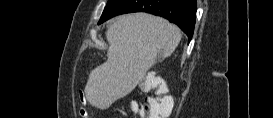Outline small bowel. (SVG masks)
I'll return each mask as SVG.
<instances>
[{
  "mask_svg": "<svg viewBox=\"0 0 273 118\" xmlns=\"http://www.w3.org/2000/svg\"><path fill=\"white\" fill-rule=\"evenodd\" d=\"M80 101H81L82 103H84V102L86 101V98H85L84 94H82V93H80ZM80 115H81L82 117H84V118H87V117H88L87 111H86L85 109H83V108L80 110Z\"/></svg>",
  "mask_w": 273,
  "mask_h": 118,
  "instance_id": "small-bowel-1",
  "label": "small bowel"
}]
</instances>
